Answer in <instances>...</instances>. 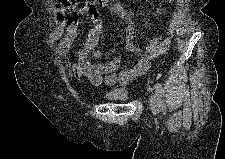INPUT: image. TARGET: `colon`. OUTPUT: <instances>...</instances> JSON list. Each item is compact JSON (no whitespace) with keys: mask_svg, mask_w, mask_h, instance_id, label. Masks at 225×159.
Instances as JSON below:
<instances>
[{"mask_svg":"<svg viewBox=\"0 0 225 159\" xmlns=\"http://www.w3.org/2000/svg\"><path fill=\"white\" fill-rule=\"evenodd\" d=\"M58 1L63 5H68L73 2V0H58ZM95 1L106 3V2H110L112 0H95Z\"/></svg>","mask_w":225,"mask_h":159,"instance_id":"colon-1","label":"colon"}]
</instances>
